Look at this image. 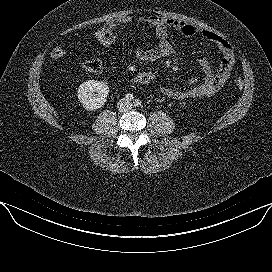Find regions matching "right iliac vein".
Listing matches in <instances>:
<instances>
[{
    "label": "right iliac vein",
    "mask_w": 272,
    "mask_h": 272,
    "mask_svg": "<svg viewBox=\"0 0 272 272\" xmlns=\"http://www.w3.org/2000/svg\"><path fill=\"white\" fill-rule=\"evenodd\" d=\"M124 104H125V102H124V101H121V102H120V108H123Z\"/></svg>",
    "instance_id": "1"
}]
</instances>
